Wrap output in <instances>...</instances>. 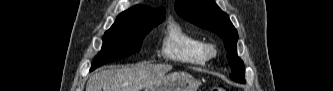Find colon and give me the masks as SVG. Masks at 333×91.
<instances>
[{"label":"colon","mask_w":333,"mask_h":91,"mask_svg":"<svg viewBox=\"0 0 333 91\" xmlns=\"http://www.w3.org/2000/svg\"><path fill=\"white\" fill-rule=\"evenodd\" d=\"M211 91H225V87L221 83L214 84L211 89Z\"/></svg>","instance_id":"colon-1"}]
</instances>
